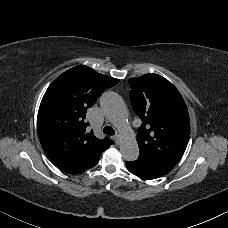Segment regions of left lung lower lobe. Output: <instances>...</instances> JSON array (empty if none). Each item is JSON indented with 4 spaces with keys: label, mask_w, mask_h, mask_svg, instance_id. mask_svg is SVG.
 I'll list each match as a JSON object with an SVG mask.
<instances>
[{
    "label": "left lung lower lobe",
    "mask_w": 228,
    "mask_h": 228,
    "mask_svg": "<svg viewBox=\"0 0 228 228\" xmlns=\"http://www.w3.org/2000/svg\"><path fill=\"white\" fill-rule=\"evenodd\" d=\"M175 165L145 155H139L133 162H126L127 169L143 179H155L170 172Z\"/></svg>",
    "instance_id": "0a47b994"
}]
</instances>
